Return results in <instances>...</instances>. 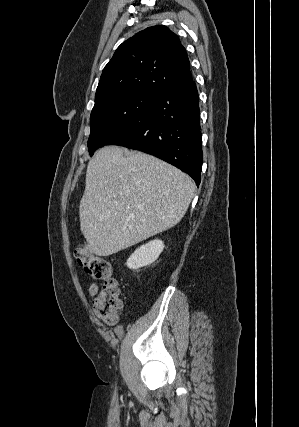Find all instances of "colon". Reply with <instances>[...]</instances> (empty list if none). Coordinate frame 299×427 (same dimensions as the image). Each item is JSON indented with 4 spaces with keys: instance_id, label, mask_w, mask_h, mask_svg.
<instances>
[{
    "instance_id": "5ec220e1",
    "label": "colon",
    "mask_w": 299,
    "mask_h": 427,
    "mask_svg": "<svg viewBox=\"0 0 299 427\" xmlns=\"http://www.w3.org/2000/svg\"><path fill=\"white\" fill-rule=\"evenodd\" d=\"M74 257L91 277L103 281L93 303L95 316L108 325L115 324L123 308V303L120 297V284L111 277L110 263L106 259L94 255L84 246L75 249Z\"/></svg>"
}]
</instances>
